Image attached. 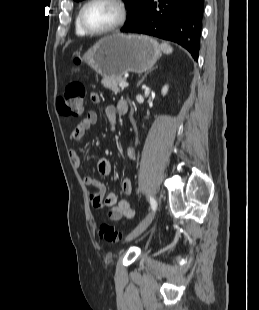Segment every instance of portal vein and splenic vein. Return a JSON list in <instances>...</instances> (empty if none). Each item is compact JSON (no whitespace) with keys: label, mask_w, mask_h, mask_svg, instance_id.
<instances>
[{"label":"portal vein and splenic vein","mask_w":259,"mask_h":310,"mask_svg":"<svg viewBox=\"0 0 259 310\" xmlns=\"http://www.w3.org/2000/svg\"><path fill=\"white\" fill-rule=\"evenodd\" d=\"M128 85L129 84L127 82H125V81L119 83V87L122 88V89L128 87Z\"/></svg>","instance_id":"obj_1"}]
</instances>
